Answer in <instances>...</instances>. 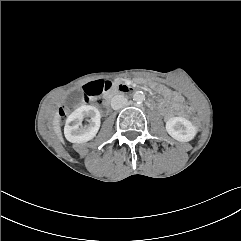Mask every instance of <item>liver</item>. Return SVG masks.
<instances>
[{
    "label": "liver",
    "mask_w": 241,
    "mask_h": 241,
    "mask_svg": "<svg viewBox=\"0 0 241 241\" xmlns=\"http://www.w3.org/2000/svg\"><path fill=\"white\" fill-rule=\"evenodd\" d=\"M60 118L58 115L55 116L54 121H53V125H54V129L55 132L60 135Z\"/></svg>",
    "instance_id": "liver-1"
}]
</instances>
